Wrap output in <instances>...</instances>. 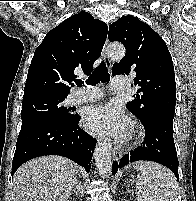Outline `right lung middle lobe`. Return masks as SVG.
I'll list each match as a JSON object with an SVG mask.
<instances>
[{"label":"right lung middle lobe","mask_w":196,"mask_h":201,"mask_svg":"<svg viewBox=\"0 0 196 201\" xmlns=\"http://www.w3.org/2000/svg\"><path fill=\"white\" fill-rule=\"evenodd\" d=\"M66 96L34 95L23 98L22 120L32 117H46L61 122L75 118L74 110L62 105Z\"/></svg>","instance_id":"right-lung-middle-lobe-1"}]
</instances>
